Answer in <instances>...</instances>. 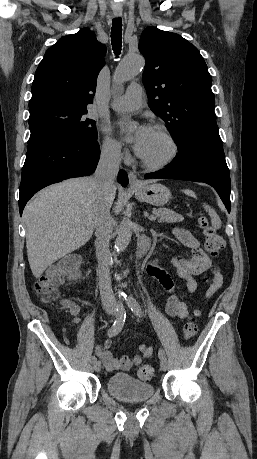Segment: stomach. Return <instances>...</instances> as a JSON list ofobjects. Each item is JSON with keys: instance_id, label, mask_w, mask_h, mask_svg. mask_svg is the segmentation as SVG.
Here are the masks:
<instances>
[{"instance_id": "0dacf381", "label": "stomach", "mask_w": 257, "mask_h": 459, "mask_svg": "<svg viewBox=\"0 0 257 459\" xmlns=\"http://www.w3.org/2000/svg\"><path fill=\"white\" fill-rule=\"evenodd\" d=\"M136 198L139 201H144L156 206L166 204L171 198L169 189L158 183L144 185L139 188H134Z\"/></svg>"}]
</instances>
